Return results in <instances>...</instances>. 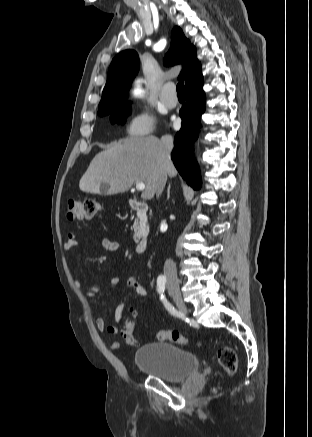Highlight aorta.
Listing matches in <instances>:
<instances>
[{"mask_svg": "<svg viewBox=\"0 0 312 437\" xmlns=\"http://www.w3.org/2000/svg\"><path fill=\"white\" fill-rule=\"evenodd\" d=\"M142 92V90L140 89V88H137L136 90H135V94H139V93H141Z\"/></svg>", "mask_w": 312, "mask_h": 437, "instance_id": "1", "label": "aorta"}]
</instances>
